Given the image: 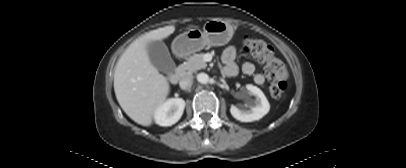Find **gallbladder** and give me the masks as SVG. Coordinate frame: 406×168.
<instances>
[{
  "label": "gallbladder",
  "instance_id": "bac80fb5",
  "mask_svg": "<svg viewBox=\"0 0 406 168\" xmlns=\"http://www.w3.org/2000/svg\"><path fill=\"white\" fill-rule=\"evenodd\" d=\"M147 51L151 63L161 72L171 73L175 69V63L172 60L166 44L161 41H151L147 45Z\"/></svg>",
  "mask_w": 406,
  "mask_h": 168
}]
</instances>
